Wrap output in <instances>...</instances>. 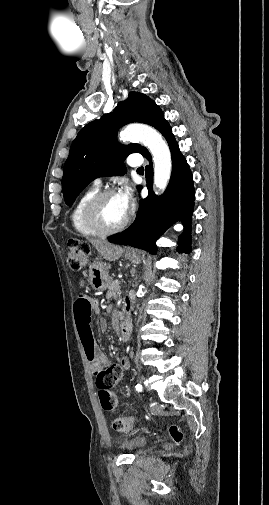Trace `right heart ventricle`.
Segmentation results:
<instances>
[{"instance_id":"right-heart-ventricle-1","label":"right heart ventricle","mask_w":269,"mask_h":505,"mask_svg":"<svg viewBox=\"0 0 269 505\" xmlns=\"http://www.w3.org/2000/svg\"><path fill=\"white\" fill-rule=\"evenodd\" d=\"M99 189L97 186H92L87 189L76 201L71 214L70 221L74 231L83 237H95L99 234L92 230L84 219V208L88 201L97 193Z\"/></svg>"}]
</instances>
